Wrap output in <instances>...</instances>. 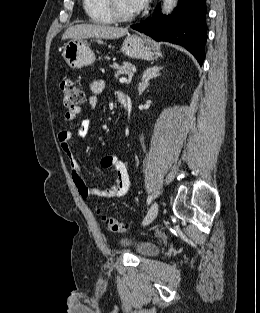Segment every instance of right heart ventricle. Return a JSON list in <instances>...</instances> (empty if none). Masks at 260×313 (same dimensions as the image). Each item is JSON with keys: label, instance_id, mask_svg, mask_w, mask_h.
Returning a JSON list of instances; mask_svg holds the SVG:
<instances>
[{"label": "right heart ventricle", "instance_id": "right-heart-ventricle-1", "mask_svg": "<svg viewBox=\"0 0 260 313\" xmlns=\"http://www.w3.org/2000/svg\"><path fill=\"white\" fill-rule=\"evenodd\" d=\"M83 8L91 21L99 24H110L113 22L107 6L106 0H82Z\"/></svg>", "mask_w": 260, "mask_h": 313}]
</instances>
